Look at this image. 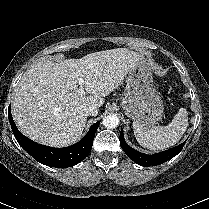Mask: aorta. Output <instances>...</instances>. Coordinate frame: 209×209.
<instances>
[{
	"label": "aorta",
	"instance_id": "aorta-1",
	"mask_svg": "<svg viewBox=\"0 0 209 209\" xmlns=\"http://www.w3.org/2000/svg\"><path fill=\"white\" fill-rule=\"evenodd\" d=\"M103 125L108 129L116 128L119 125V118L116 114H109L103 118Z\"/></svg>",
	"mask_w": 209,
	"mask_h": 209
}]
</instances>
